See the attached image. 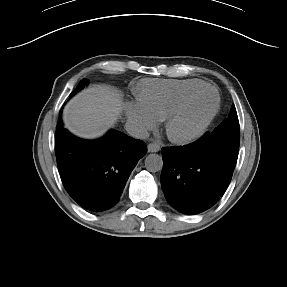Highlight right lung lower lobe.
<instances>
[{
	"mask_svg": "<svg viewBox=\"0 0 287 287\" xmlns=\"http://www.w3.org/2000/svg\"><path fill=\"white\" fill-rule=\"evenodd\" d=\"M55 153L66 191L82 207H113L147 147L138 139L110 130L97 140H83L59 127Z\"/></svg>",
	"mask_w": 287,
	"mask_h": 287,
	"instance_id": "98d812e1",
	"label": "right lung lower lobe"
}]
</instances>
